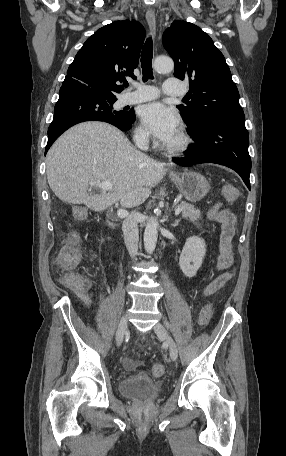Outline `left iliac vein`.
Segmentation results:
<instances>
[{"label": "left iliac vein", "instance_id": "obj_1", "mask_svg": "<svg viewBox=\"0 0 286 456\" xmlns=\"http://www.w3.org/2000/svg\"><path fill=\"white\" fill-rule=\"evenodd\" d=\"M154 331L160 339H163L167 342L170 357L173 361H175L178 357V348L173 338L169 335L168 331L161 323H157L154 326Z\"/></svg>", "mask_w": 286, "mask_h": 456}]
</instances>
